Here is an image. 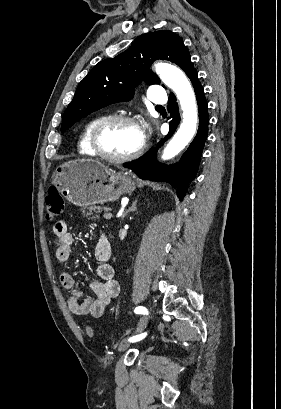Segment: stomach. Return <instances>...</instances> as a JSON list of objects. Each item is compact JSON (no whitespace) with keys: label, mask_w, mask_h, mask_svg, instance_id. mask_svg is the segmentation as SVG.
<instances>
[{"label":"stomach","mask_w":281,"mask_h":409,"mask_svg":"<svg viewBox=\"0 0 281 409\" xmlns=\"http://www.w3.org/2000/svg\"><path fill=\"white\" fill-rule=\"evenodd\" d=\"M130 174L132 172H111L98 160L76 158L59 164L51 182L73 205L88 207L103 205L108 200H117L125 192H133L136 182Z\"/></svg>","instance_id":"1"}]
</instances>
